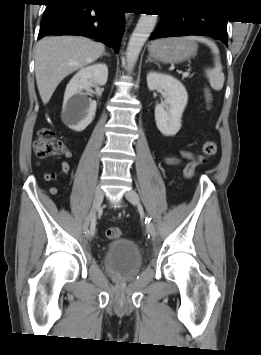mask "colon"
Returning a JSON list of instances; mask_svg holds the SVG:
<instances>
[{"mask_svg":"<svg viewBox=\"0 0 261 355\" xmlns=\"http://www.w3.org/2000/svg\"><path fill=\"white\" fill-rule=\"evenodd\" d=\"M205 96L209 104L212 102V94L209 89L205 90ZM34 151L39 158H57L66 151V144L56 136L55 131L50 127H44L39 131L38 138L34 143ZM217 151V144L213 140L206 141L202 150L196 159L187 163L184 168V176L191 179L197 167L205 163ZM106 236L109 239H118L122 236V229L119 227H110L106 230Z\"/></svg>","mask_w":261,"mask_h":355,"instance_id":"5ec220e1","label":"colon"}]
</instances>
